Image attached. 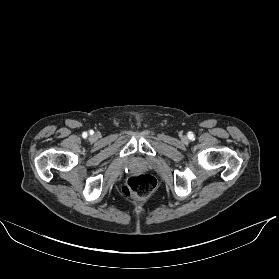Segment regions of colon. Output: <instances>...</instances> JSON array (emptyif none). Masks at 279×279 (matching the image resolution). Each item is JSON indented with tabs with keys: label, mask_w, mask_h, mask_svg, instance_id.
<instances>
[{
	"label": "colon",
	"mask_w": 279,
	"mask_h": 279,
	"mask_svg": "<svg viewBox=\"0 0 279 279\" xmlns=\"http://www.w3.org/2000/svg\"><path fill=\"white\" fill-rule=\"evenodd\" d=\"M156 180L149 174H137L131 176L123 187L124 195L135 198L145 199L155 189Z\"/></svg>",
	"instance_id": "5ec220e1"
}]
</instances>
